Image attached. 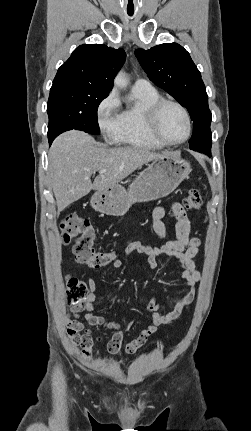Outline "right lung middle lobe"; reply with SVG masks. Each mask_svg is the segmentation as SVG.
<instances>
[{"label":"right lung middle lobe","mask_w":251,"mask_h":431,"mask_svg":"<svg viewBox=\"0 0 251 431\" xmlns=\"http://www.w3.org/2000/svg\"><path fill=\"white\" fill-rule=\"evenodd\" d=\"M109 92L70 80L54 81L47 103L48 136L71 129L99 135L97 109Z\"/></svg>","instance_id":"dd1d6c3e"}]
</instances>
